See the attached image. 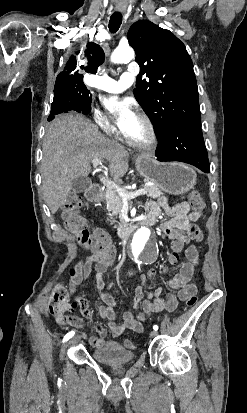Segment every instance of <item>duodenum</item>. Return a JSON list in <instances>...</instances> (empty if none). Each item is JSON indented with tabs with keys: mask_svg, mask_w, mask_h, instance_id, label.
Returning a JSON list of instances; mask_svg holds the SVG:
<instances>
[{
	"mask_svg": "<svg viewBox=\"0 0 247 413\" xmlns=\"http://www.w3.org/2000/svg\"><path fill=\"white\" fill-rule=\"evenodd\" d=\"M86 199L90 202H99L103 196V189L100 185L94 184L88 188L86 191ZM143 224H148L147 221L143 222ZM138 223H129L124 228L120 229L117 233L118 239L121 244H126L130 234L136 229Z\"/></svg>",
	"mask_w": 247,
	"mask_h": 413,
	"instance_id": "duodenum-1",
	"label": "duodenum"
}]
</instances>
